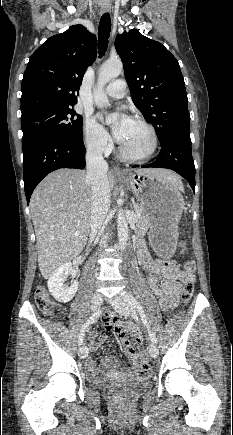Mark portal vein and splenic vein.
<instances>
[{"instance_id": "portal-vein-and-splenic-vein-1", "label": "portal vein and splenic vein", "mask_w": 233, "mask_h": 435, "mask_svg": "<svg viewBox=\"0 0 233 435\" xmlns=\"http://www.w3.org/2000/svg\"><path fill=\"white\" fill-rule=\"evenodd\" d=\"M135 217L138 218V217H139V213H136ZM79 234H80L79 231H76V232H75V235H76V236H78Z\"/></svg>"}]
</instances>
